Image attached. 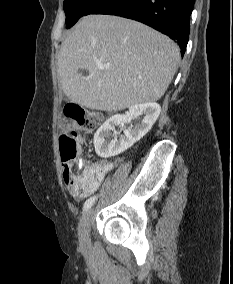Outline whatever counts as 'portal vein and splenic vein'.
Wrapping results in <instances>:
<instances>
[{"instance_id":"18ae733b","label":"portal vein and splenic vein","mask_w":233,"mask_h":284,"mask_svg":"<svg viewBox=\"0 0 233 284\" xmlns=\"http://www.w3.org/2000/svg\"><path fill=\"white\" fill-rule=\"evenodd\" d=\"M105 68L106 66H102V65L99 66V69H105Z\"/></svg>"}]
</instances>
